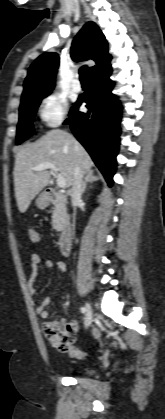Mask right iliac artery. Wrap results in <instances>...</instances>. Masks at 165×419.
Returning a JSON list of instances; mask_svg holds the SVG:
<instances>
[{"mask_svg":"<svg viewBox=\"0 0 165 419\" xmlns=\"http://www.w3.org/2000/svg\"><path fill=\"white\" fill-rule=\"evenodd\" d=\"M80 311H81V313H83V314H84V313L86 312V308L81 307V308H80Z\"/></svg>","mask_w":165,"mask_h":419,"instance_id":"1","label":"right iliac artery"}]
</instances>
